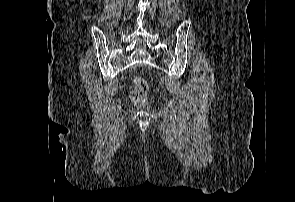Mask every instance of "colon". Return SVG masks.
Instances as JSON below:
<instances>
[{
    "instance_id": "1",
    "label": "colon",
    "mask_w": 295,
    "mask_h": 202,
    "mask_svg": "<svg viewBox=\"0 0 295 202\" xmlns=\"http://www.w3.org/2000/svg\"><path fill=\"white\" fill-rule=\"evenodd\" d=\"M148 85L142 77L134 78V89L131 93L132 100L139 106H144L148 103Z\"/></svg>"
}]
</instances>
